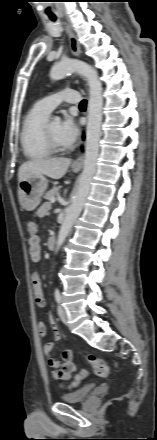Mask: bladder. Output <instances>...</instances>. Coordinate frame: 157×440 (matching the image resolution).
Here are the masks:
<instances>
[{"mask_svg": "<svg viewBox=\"0 0 157 440\" xmlns=\"http://www.w3.org/2000/svg\"><path fill=\"white\" fill-rule=\"evenodd\" d=\"M94 386L88 385L72 392L62 393L60 398L63 402L74 404L86 401L93 393Z\"/></svg>", "mask_w": 157, "mask_h": 440, "instance_id": "bladder-1", "label": "bladder"}]
</instances>
